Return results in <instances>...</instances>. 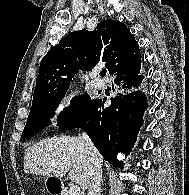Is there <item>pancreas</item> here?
<instances>
[{"mask_svg": "<svg viewBox=\"0 0 189 195\" xmlns=\"http://www.w3.org/2000/svg\"><path fill=\"white\" fill-rule=\"evenodd\" d=\"M64 195H69V192H66Z\"/></svg>", "mask_w": 189, "mask_h": 195, "instance_id": "1", "label": "pancreas"}]
</instances>
